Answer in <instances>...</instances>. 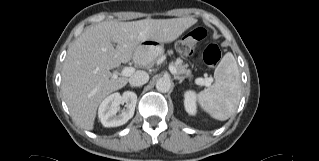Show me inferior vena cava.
Masks as SVG:
<instances>
[{
  "instance_id": "602c4592",
  "label": "inferior vena cava",
  "mask_w": 319,
  "mask_h": 161,
  "mask_svg": "<svg viewBox=\"0 0 319 161\" xmlns=\"http://www.w3.org/2000/svg\"><path fill=\"white\" fill-rule=\"evenodd\" d=\"M149 80V75L145 71H136L130 78L129 83L131 86H142Z\"/></svg>"
}]
</instances>
